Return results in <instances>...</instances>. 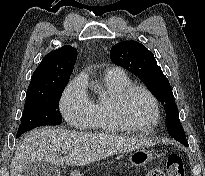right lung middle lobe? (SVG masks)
Listing matches in <instances>:
<instances>
[{
    "label": "right lung middle lobe",
    "mask_w": 205,
    "mask_h": 176,
    "mask_svg": "<svg viewBox=\"0 0 205 176\" xmlns=\"http://www.w3.org/2000/svg\"><path fill=\"white\" fill-rule=\"evenodd\" d=\"M66 84L45 93L26 96L17 138L28 130L46 125H60L62 116L59 111V99Z\"/></svg>",
    "instance_id": "obj_1"
}]
</instances>
